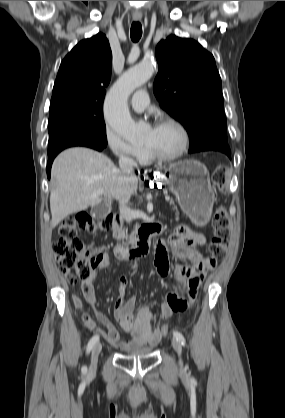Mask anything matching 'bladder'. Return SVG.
<instances>
[{"label":"bladder","instance_id":"bladder-1","mask_svg":"<svg viewBox=\"0 0 285 418\" xmlns=\"http://www.w3.org/2000/svg\"><path fill=\"white\" fill-rule=\"evenodd\" d=\"M151 350H152V347H150V346L140 347V348H132L129 351V355H132V356H147V355H149Z\"/></svg>","mask_w":285,"mask_h":418}]
</instances>
